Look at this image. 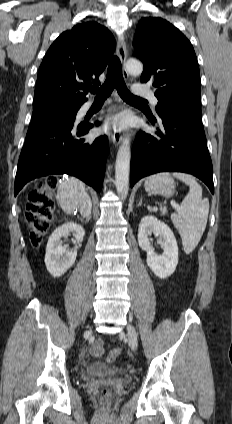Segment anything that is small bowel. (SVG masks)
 <instances>
[{
    "label": "small bowel",
    "mask_w": 232,
    "mask_h": 424,
    "mask_svg": "<svg viewBox=\"0 0 232 424\" xmlns=\"http://www.w3.org/2000/svg\"><path fill=\"white\" fill-rule=\"evenodd\" d=\"M102 350H103L102 341L97 340L92 344L90 352H91L92 355L96 356V355H100L102 353Z\"/></svg>",
    "instance_id": "obj_1"
}]
</instances>
